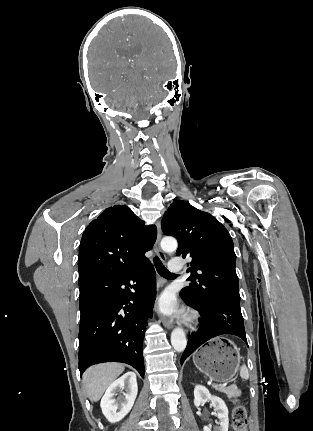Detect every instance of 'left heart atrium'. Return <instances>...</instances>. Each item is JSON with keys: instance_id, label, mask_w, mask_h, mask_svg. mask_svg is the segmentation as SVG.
I'll return each instance as SVG.
<instances>
[{"instance_id": "39dd6f15", "label": "left heart atrium", "mask_w": 313, "mask_h": 431, "mask_svg": "<svg viewBox=\"0 0 313 431\" xmlns=\"http://www.w3.org/2000/svg\"><path fill=\"white\" fill-rule=\"evenodd\" d=\"M159 309L162 313L172 315L179 311L176 308L174 298L170 294L164 295L159 302Z\"/></svg>"}]
</instances>
